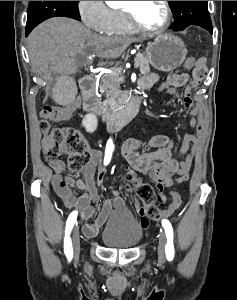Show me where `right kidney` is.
Instances as JSON below:
<instances>
[{
  "mask_svg": "<svg viewBox=\"0 0 237 300\" xmlns=\"http://www.w3.org/2000/svg\"><path fill=\"white\" fill-rule=\"evenodd\" d=\"M82 125L85 127L87 133H94L98 125L96 115H94V113H88V115H85Z\"/></svg>",
  "mask_w": 237,
  "mask_h": 300,
  "instance_id": "obj_1",
  "label": "right kidney"
}]
</instances>
